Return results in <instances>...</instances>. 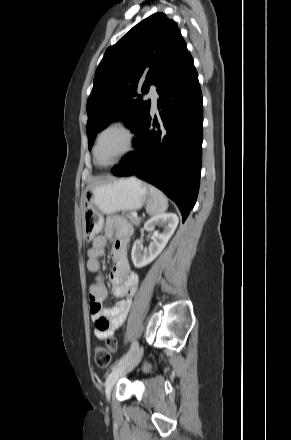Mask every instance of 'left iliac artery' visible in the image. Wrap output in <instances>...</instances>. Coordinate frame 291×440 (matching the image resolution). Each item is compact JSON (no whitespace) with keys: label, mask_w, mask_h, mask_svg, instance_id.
Segmentation results:
<instances>
[{"label":"left iliac artery","mask_w":291,"mask_h":440,"mask_svg":"<svg viewBox=\"0 0 291 440\" xmlns=\"http://www.w3.org/2000/svg\"><path fill=\"white\" fill-rule=\"evenodd\" d=\"M137 349H138V343H137V341H134L132 343L129 351L118 361L116 366L125 363Z\"/></svg>","instance_id":"44dca946"}]
</instances>
